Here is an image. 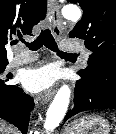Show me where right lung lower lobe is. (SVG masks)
<instances>
[{
	"label": "right lung lower lobe",
	"mask_w": 116,
	"mask_h": 134,
	"mask_svg": "<svg viewBox=\"0 0 116 134\" xmlns=\"http://www.w3.org/2000/svg\"><path fill=\"white\" fill-rule=\"evenodd\" d=\"M33 105V98L17 86L11 95L0 98V118L26 134Z\"/></svg>",
	"instance_id": "right-lung-lower-lobe-1"
}]
</instances>
